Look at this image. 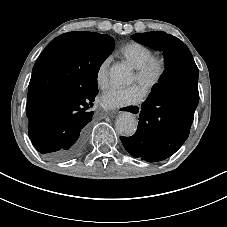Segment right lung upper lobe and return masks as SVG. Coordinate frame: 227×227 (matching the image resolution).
<instances>
[{"label": "right lung upper lobe", "instance_id": "cb5924a9", "mask_svg": "<svg viewBox=\"0 0 227 227\" xmlns=\"http://www.w3.org/2000/svg\"><path fill=\"white\" fill-rule=\"evenodd\" d=\"M96 32H69L52 40L37 59L28 87L27 117L29 123L42 120L49 105L61 96L76 95L81 86L80 71L61 59L56 52V43L68 36L89 37Z\"/></svg>", "mask_w": 227, "mask_h": 227}]
</instances>
